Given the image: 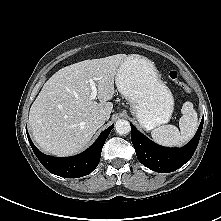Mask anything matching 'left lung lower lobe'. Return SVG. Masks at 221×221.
<instances>
[{"mask_svg": "<svg viewBox=\"0 0 221 221\" xmlns=\"http://www.w3.org/2000/svg\"><path fill=\"white\" fill-rule=\"evenodd\" d=\"M131 140L138 160L147 168L160 172H172L183 166L193 156L203 128V119L193 139L182 148L159 146L140 133L132 124Z\"/></svg>", "mask_w": 221, "mask_h": 221, "instance_id": "left-lung-lower-lobe-1", "label": "left lung lower lobe"}]
</instances>
